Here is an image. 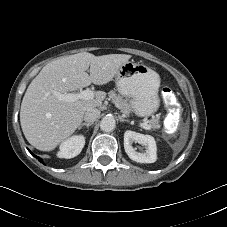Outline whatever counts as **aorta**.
I'll return each mask as SVG.
<instances>
[{
    "mask_svg": "<svg viewBox=\"0 0 227 227\" xmlns=\"http://www.w3.org/2000/svg\"><path fill=\"white\" fill-rule=\"evenodd\" d=\"M116 122L112 116H105L100 122V129L105 132H111L115 129Z\"/></svg>",
    "mask_w": 227,
    "mask_h": 227,
    "instance_id": "obj_1",
    "label": "aorta"
}]
</instances>
